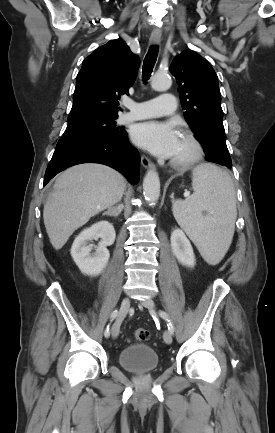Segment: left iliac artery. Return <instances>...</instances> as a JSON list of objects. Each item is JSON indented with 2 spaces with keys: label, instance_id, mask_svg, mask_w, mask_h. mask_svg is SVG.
Here are the masks:
<instances>
[{
  "label": "left iliac artery",
  "instance_id": "obj_1",
  "mask_svg": "<svg viewBox=\"0 0 275 433\" xmlns=\"http://www.w3.org/2000/svg\"><path fill=\"white\" fill-rule=\"evenodd\" d=\"M159 315L167 321V326H168V330L173 333L174 332V326L173 323L171 322L170 318L168 317V314L164 311H160Z\"/></svg>",
  "mask_w": 275,
  "mask_h": 433
}]
</instances>
